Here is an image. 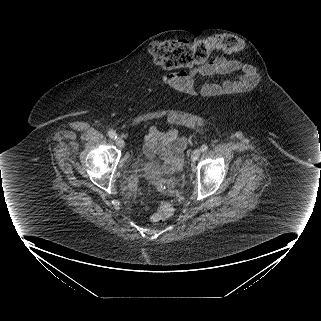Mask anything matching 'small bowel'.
<instances>
[{
	"label": "small bowel",
	"instance_id": "obj_1",
	"mask_svg": "<svg viewBox=\"0 0 321 321\" xmlns=\"http://www.w3.org/2000/svg\"><path fill=\"white\" fill-rule=\"evenodd\" d=\"M235 70H237L235 80L225 79L219 85L215 83L200 84L196 88L197 95L205 97L232 91H250L258 85L260 78L253 67L249 65L240 66L236 61L222 56L212 62L193 67L188 71L168 74L166 80L175 87L189 91L195 87L196 79L200 76L227 73ZM186 145V140L180 136L177 129L161 132L157 127L151 126L144 137L143 150L149 157H159L164 163L166 172H174L181 166L182 153Z\"/></svg>",
	"mask_w": 321,
	"mask_h": 321
}]
</instances>
